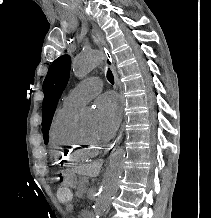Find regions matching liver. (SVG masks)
<instances>
[{"mask_svg": "<svg viewBox=\"0 0 211 218\" xmlns=\"http://www.w3.org/2000/svg\"><path fill=\"white\" fill-rule=\"evenodd\" d=\"M102 164H90V166H85V168H81V174L84 176H90V178H96L100 172Z\"/></svg>", "mask_w": 211, "mask_h": 218, "instance_id": "obj_1", "label": "liver"}]
</instances>
